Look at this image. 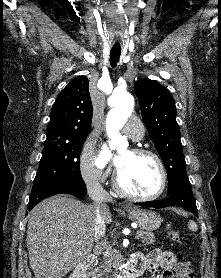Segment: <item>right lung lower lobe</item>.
I'll return each instance as SVG.
<instances>
[{
  "instance_id": "1",
  "label": "right lung lower lobe",
  "mask_w": 221,
  "mask_h": 278,
  "mask_svg": "<svg viewBox=\"0 0 221 278\" xmlns=\"http://www.w3.org/2000/svg\"><path fill=\"white\" fill-rule=\"evenodd\" d=\"M86 191L85 183H78L72 180H60L53 182L30 194L28 211H30L40 201L52 195L66 193L74 195L77 198H83L86 195ZM28 211L26 214H28Z\"/></svg>"
}]
</instances>
